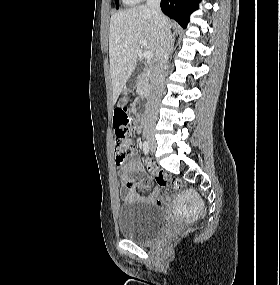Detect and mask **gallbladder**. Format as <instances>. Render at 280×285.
I'll list each match as a JSON object with an SVG mask.
<instances>
[{
  "label": "gallbladder",
  "instance_id": "1",
  "mask_svg": "<svg viewBox=\"0 0 280 285\" xmlns=\"http://www.w3.org/2000/svg\"><path fill=\"white\" fill-rule=\"evenodd\" d=\"M127 103V97L124 96L123 98H121V100L118 103V106L122 107Z\"/></svg>",
  "mask_w": 280,
  "mask_h": 285
}]
</instances>
